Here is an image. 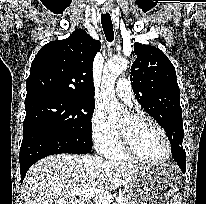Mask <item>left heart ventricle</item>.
I'll return each instance as SVG.
<instances>
[{
  "label": "left heart ventricle",
  "instance_id": "left-heart-ventricle-1",
  "mask_svg": "<svg viewBox=\"0 0 206 204\" xmlns=\"http://www.w3.org/2000/svg\"><path fill=\"white\" fill-rule=\"evenodd\" d=\"M118 127L128 131L138 152L151 160L165 157L167 147L161 133L148 122L132 123L130 116H126Z\"/></svg>",
  "mask_w": 206,
  "mask_h": 204
}]
</instances>
